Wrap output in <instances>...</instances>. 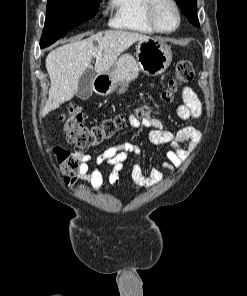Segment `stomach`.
<instances>
[{
  "instance_id": "obj_1",
  "label": "stomach",
  "mask_w": 247,
  "mask_h": 296,
  "mask_svg": "<svg viewBox=\"0 0 247 296\" xmlns=\"http://www.w3.org/2000/svg\"><path fill=\"white\" fill-rule=\"evenodd\" d=\"M171 61V47L165 41L159 38L139 41L136 58L123 54L108 71L95 77V91L100 95H108L120 87L119 93H122L140 71L148 76H157L166 71Z\"/></svg>"
}]
</instances>
